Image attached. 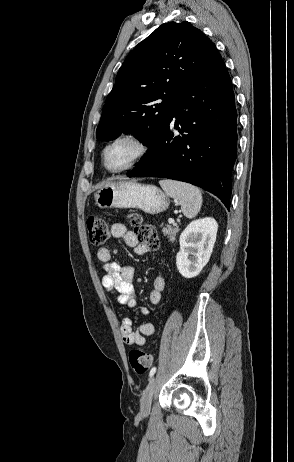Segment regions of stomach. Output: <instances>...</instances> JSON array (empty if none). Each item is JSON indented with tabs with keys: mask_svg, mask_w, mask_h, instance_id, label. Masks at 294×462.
<instances>
[{
	"mask_svg": "<svg viewBox=\"0 0 294 462\" xmlns=\"http://www.w3.org/2000/svg\"><path fill=\"white\" fill-rule=\"evenodd\" d=\"M100 208H138L148 214H158L169 207V198L154 185L135 181L111 182L95 193Z\"/></svg>",
	"mask_w": 294,
	"mask_h": 462,
	"instance_id": "stomach-1",
	"label": "stomach"
}]
</instances>
